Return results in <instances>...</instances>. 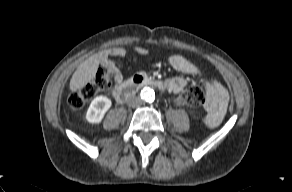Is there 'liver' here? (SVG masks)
<instances>
[{
  "label": "liver",
  "mask_w": 292,
  "mask_h": 192,
  "mask_svg": "<svg viewBox=\"0 0 292 192\" xmlns=\"http://www.w3.org/2000/svg\"><path fill=\"white\" fill-rule=\"evenodd\" d=\"M100 58L97 54L92 55L84 62H82L70 80V90L72 92L83 88L87 83L95 78L97 69L99 67Z\"/></svg>",
  "instance_id": "6515ba94"
}]
</instances>
